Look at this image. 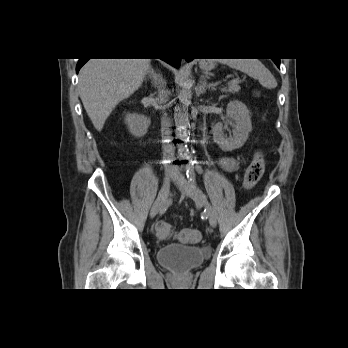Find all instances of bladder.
I'll list each match as a JSON object with an SVG mask.
<instances>
[{
	"mask_svg": "<svg viewBox=\"0 0 348 348\" xmlns=\"http://www.w3.org/2000/svg\"><path fill=\"white\" fill-rule=\"evenodd\" d=\"M210 252L202 246L169 244L157 251L158 262L176 271H188L200 265Z\"/></svg>",
	"mask_w": 348,
	"mask_h": 348,
	"instance_id": "1",
	"label": "bladder"
}]
</instances>
